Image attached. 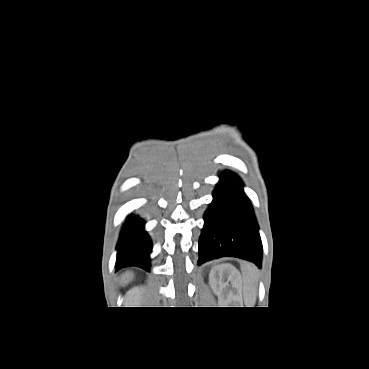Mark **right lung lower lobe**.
<instances>
[{
	"label": "right lung lower lobe",
	"instance_id": "right-lung-lower-lobe-1",
	"mask_svg": "<svg viewBox=\"0 0 369 369\" xmlns=\"http://www.w3.org/2000/svg\"><path fill=\"white\" fill-rule=\"evenodd\" d=\"M138 216H130L124 224L117 246V270L136 266L149 271L151 241L143 229Z\"/></svg>",
	"mask_w": 369,
	"mask_h": 369
}]
</instances>
